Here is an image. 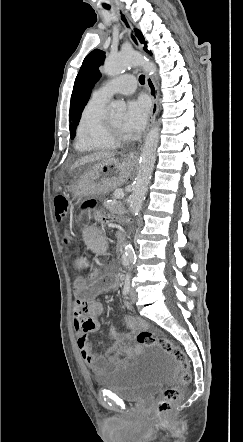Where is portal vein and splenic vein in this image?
Here are the masks:
<instances>
[{
  "label": "portal vein and splenic vein",
  "mask_w": 243,
  "mask_h": 442,
  "mask_svg": "<svg viewBox=\"0 0 243 442\" xmlns=\"http://www.w3.org/2000/svg\"><path fill=\"white\" fill-rule=\"evenodd\" d=\"M124 197V193L122 190L118 189L114 192L115 199H122Z\"/></svg>",
  "instance_id": "18ae733b"
}]
</instances>
